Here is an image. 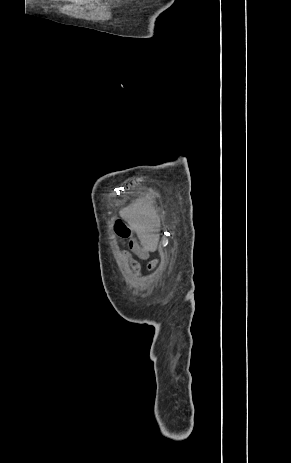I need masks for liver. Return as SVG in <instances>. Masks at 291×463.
I'll return each mask as SVG.
<instances>
[{
  "label": "liver",
  "instance_id": "obj_1",
  "mask_svg": "<svg viewBox=\"0 0 291 463\" xmlns=\"http://www.w3.org/2000/svg\"><path fill=\"white\" fill-rule=\"evenodd\" d=\"M120 216L135 231L145 251H155L160 220L150 199L142 198L120 210Z\"/></svg>",
  "mask_w": 291,
  "mask_h": 463
}]
</instances>
